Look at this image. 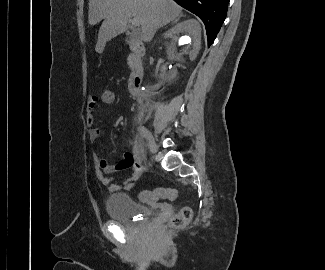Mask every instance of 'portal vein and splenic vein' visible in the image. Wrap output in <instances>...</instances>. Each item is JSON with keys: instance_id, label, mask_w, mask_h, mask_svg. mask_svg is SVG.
I'll return each instance as SVG.
<instances>
[{"instance_id": "18ae733b", "label": "portal vein and splenic vein", "mask_w": 325, "mask_h": 270, "mask_svg": "<svg viewBox=\"0 0 325 270\" xmlns=\"http://www.w3.org/2000/svg\"><path fill=\"white\" fill-rule=\"evenodd\" d=\"M133 26H139L140 25V22L137 18H132L129 20Z\"/></svg>"}]
</instances>
